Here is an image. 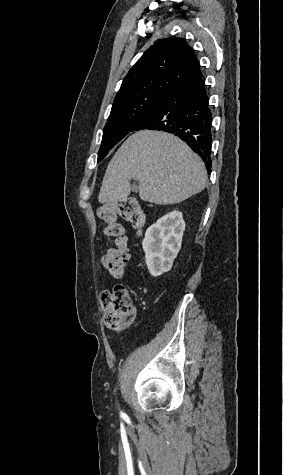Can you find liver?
Returning a JSON list of instances; mask_svg holds the SVG:
<instances>
[{"mask_svg":"<svg viewBox=\"0 0 283 475\" xmlns=\"http://www.w3.org/2000/svg\"><path fill=\"white\" fill-rule=\"evenodd\" d=\"M139 182V196L152 204H177L206 186L201 158L167 132L140 130L129 136L114 154L103 178L98 202H126L130 180Z\"/></svg>","mask_w":283,"mask_h":475,"instance_id":"1","label":"liver"}]
</instances>
